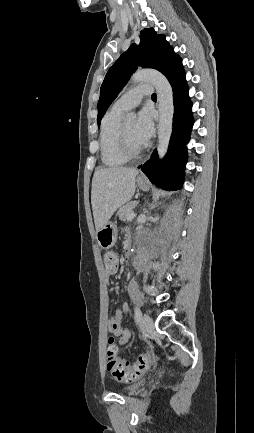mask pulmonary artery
Listing matches in <instances>:
<instances>
[{"instance_id": "e3ab8cb5", "label": "pulmonary artery", "mask_w": 254, "mask_h": 433, "mask_svg": "<svg viewBox=\"0 0 254 433\" xmlns=\"http://www.w3.org/2000/svg\"><path fill=\"white\" fill-rule=\"evenodd\" d=\"M152 92V85L145 84L136 86L123 94L112 106V109L118 112L128 111L138 106L145 95Z\"/></svg>"}]
</instances>
